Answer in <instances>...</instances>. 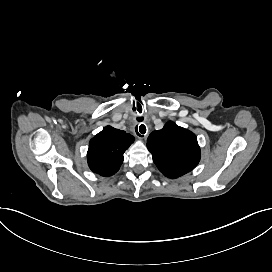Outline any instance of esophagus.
I'll return each mask as SVG.
<instances>
[{"label": "esophagus", "mask_w": 272, "mask_h": 272, "mask_svg": "<svg viewBox=\"0 0 272 272\" xmlns=\"http://www.w3.org/2000/svg\"><path fill=\"white\" fill-rule=\"evenodd\" d=\"M136 135H137V137H138L139 139H142V138H143V135L140 134V133H139V135H138L137 132H136Z\"/></svg>", "instance_id": "obj_1"}]
</instances>
